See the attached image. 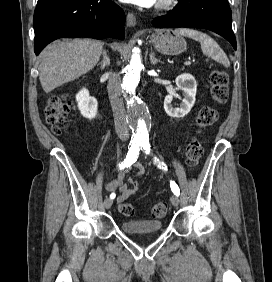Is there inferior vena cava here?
I'll list each match as a JSON object with an SVG mask.
<instances>
[{
  "label": "inferior vena cava",
  "mask_w": 272,
  "mask_h": 282,
  "mask_svg": "<svg viewBox=\"0 0 272 282\" xmlns=\"http://www.w3.org/2000/svg\"><path fill=\"white\" fill-rule=\"evenodd\" d=\"M107 89L116 133L121 140H126L129 138V129L122 98L121 78L117 73L110 74Z\"/></svg>",
  "instance_id": "inferior-vena-cava-1"
}]
</instances>
